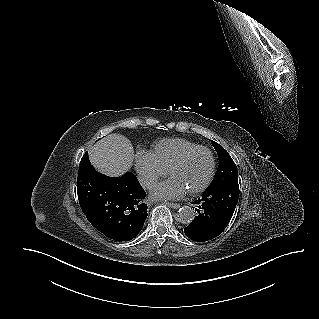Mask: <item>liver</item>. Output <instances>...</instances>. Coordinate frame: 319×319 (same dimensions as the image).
Masks as SVG:
<instances>
[{"label": "liver", "instance_id": "liver-1", "mask_svg": "<svg viewBox=\"0 0 319 319\" xmlns=\"http://www.w3.org/2000/svg\"><path fill=\"white\" fill-rule=\"evenodd\" d=\"M89 158L99 172L117 177L131 168L134 149L128 138L113 133L90 148Z\"/></svg>", "mask_w": 319, "mask_h": 319}]
</instances>
